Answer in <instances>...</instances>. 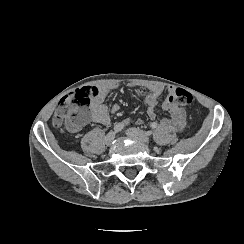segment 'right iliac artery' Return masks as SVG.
<instances>
[{
    "mask_svg": "<svg viewBox=\"0 0 244 244\" xmlns=\"http://www.w3.org/2000/svg\"><path fill=\"white\" fill-rule=\"evenodd\" d=\"M124 128V123H117L114 125V132H120Z\"/></svg>",
    "mask_w": 244,
    "mask_h": 244,
    "instance_id": "82829eb1",
    "label": "right iliac artery"
}]
</instances>
